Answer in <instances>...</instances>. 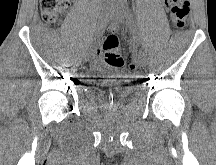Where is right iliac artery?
Returning <instances> with one entry per match:
<instances>
[{"label": "right iliac artery", "mask_w": 216, "mask_h": 165, "mask_svg": "<svg viewBox=\"0 0 216 165\" xmlns=\"http://www.w3.org/2000/svg\"><path fill=\"white\" fill-rule=\"evenodd\" d=\"M113 12L114 10H111V14H107L106 19L97 27L94 39H91L87 42V46H86L87 50L85 51L87 54L90 52L89 50L91 49L92 44L95 43L96 39L100 38V36H102V34L104 33Z\"/></svg>", "instance_id": "right-iliac-artery-1"}]
</instances>
